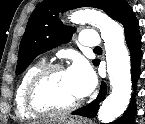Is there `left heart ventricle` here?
I'll list each match as a JSON object with an SVG mask.
<instances>
[{
  "instance_id": "obj_1",
  "label": "left heart ventricle",
  "mask_w": 145,
  "mask_h": 124,
  "mask_svg": "<svg viewBox=\"0 0 145 124\" xmlns=\"http://www.w3.org/2000/svg\"><path fill=\"white\" fill-rule=\"evenodd\" d=\"M42 96L59 107L70 105L80 99L67 71H58L50 75L43 85Z\"/></svg>"
}]
</instances>
